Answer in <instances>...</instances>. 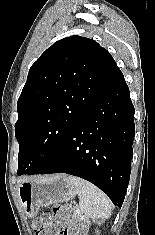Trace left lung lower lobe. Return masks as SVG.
<instances>
[{
	"label": "left lung lower lobe",
	"instance_id": "1",
	"mask_svg": "<svg viewBox=\"0 0 155 235\" xmlns=\"http://www.w3.org/2000/svg\"><path fill=\"white\" fill-rule=\"evenodd\" d=\"M134 135V107L117 67L56 155L35 174L81 177L121 207L129 184Z\"/></svg>",
	"mask_w": 155,
	"mask_h": 235
}]
</instances>
